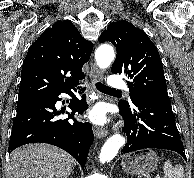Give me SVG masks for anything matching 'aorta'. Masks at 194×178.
I'll use <instances>...</instances> for the list:
<instances>
[{"instance_id": "obj_1", "label": "aorta", "mask_w": 194, "mask_h": 178, "mask_svg": "<svg viewBox=\"0 0 194 178\" xmlns=\"http://www.w3.org/2000/svg\"><path fill=\"white\" fill-rule=\"evenodd\" d=\"M115 58L112 46L108 44L100 45L95 52L96 63L101 69L110 66ZM125 144V139L121 134L112 135L103 145L99 160L101 163L111 161L118 153L120 148Z\"/></svg>"}]
</instances>
